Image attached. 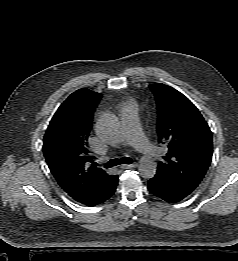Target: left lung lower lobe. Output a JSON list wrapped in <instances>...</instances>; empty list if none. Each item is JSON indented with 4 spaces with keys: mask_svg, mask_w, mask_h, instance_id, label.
Instances as JSON below:
<instances>
[{
    "mask_svg": "<svg viewBox=\"0 0 238 261\" xmlns=\"http://www.w3.org/2000/svg\"><path fill=\"white\" fill-rule=\"evenodd\" d=\"M148 190L166 202H179L191 192L158 173L148 181Z\"/></svg>",
    "mask_w": 238,
    "mask_h": 261,
    "instance_id": "1",
    "label": "left lung lower lobe"
}]
</instances>
